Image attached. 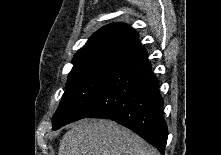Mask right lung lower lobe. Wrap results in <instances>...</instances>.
<instances>
[{"label":"right lung lower lobe","instance_id":"98d812e1","mask_svg":"<svg viewBox=\"0 0 221 155\" xmlns=\"http://www.w3.org/2000/svg\"><path fill=\"white\" fill-rule=\"evenodd\" d=\"M140 45L118 62L83 118L113 120L137 133L164 155L168 136L163 99Z\"/></svg>","mask_w":221,"mask_h":155}]
</instances>
